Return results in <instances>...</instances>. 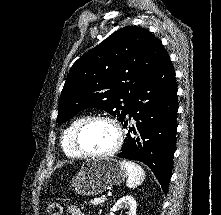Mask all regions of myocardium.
Listing matches in <instances>:
<instances>
[{
  "mask_svg": "<svg viewBox=\"0 0 221 215\" xmlns=\"http://www.w3.org/2000/svg\"><path fill=\"white\" fill-rule=\"evenodd\" d=\"M95 121H105L108 122L114 129L115 132V143L108 151L102 152V153H90L83 149L81 146L80 138L85 130V128ZM124 140L123 131L118 123L114 118L108 115H93L87 117L77 128L75 134H74V144L81 156L88 157V158H105L108 156H112L115 154L122 146Z\"/></svg>",
  "mask_w": 221,
  "mask_h": 215,
  "instance_id": "obj_1",
  "label": "myocardium"
}]
</instances>
